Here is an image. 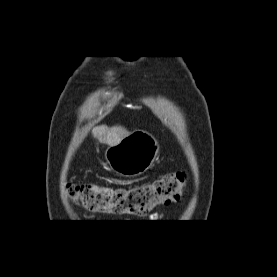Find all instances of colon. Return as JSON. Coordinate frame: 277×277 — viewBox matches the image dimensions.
I'll use <instances>...</instances> for the list:
<instances>
[{
  "mask_svg": "<svg viewBox=\"0 0 277 277\" xmlns=\"http://www.w3.org/2000/svg\"><path fill=\"white\" fill-rule=\"evenodd\" d=\"M185 183V173L178 171L129 188L70 184L68 195L74 202L92 212L141 216L159 205L177 201L183 194Z\"/></svg>",
  "mask_w": 277,
  "mask_h": 277,
  "instance_id": "1",
  "label": "colon"
}]
</instances>
